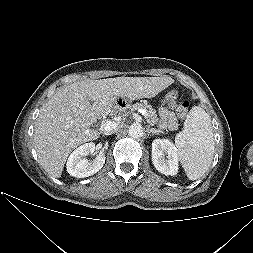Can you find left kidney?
I'll use <instances>...</instances> for the list:
<instances>
[{"instance_id":"5707ae66","label":"left kidney","mask_w":253,"mask_h":253,"mask_svg":"<svg viewBox=\"0 0 253 253\" xmlns=\"http://www.w3.org/2000/svg\"><path fill=\"white\" fill-rule=\"evenodd\" d=\"M152 162L164 175L178 172V153L175 145L168 139H155L152 142Z\"/></svg>"}]
</instances>
